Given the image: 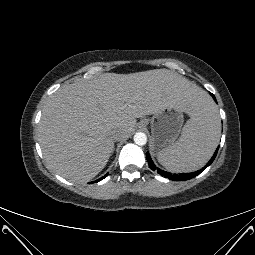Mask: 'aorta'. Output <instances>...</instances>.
<instances>
[{"label":"aorta","mask_w":255,"mask_h":255,"mask_svg":"<svg viewBox=\"0 0 255 255\" xmlns=\"http://www.w3.org/2000/svg\"><path fill=\"white\" fill-rule=\"evenodd\" d=\"M134 142L135 144L139 145V146H143L147 143V136L145 133L143 132H137L134 135Z\"/></svg>","instance_id":"aorta-1"}]
</instances>
